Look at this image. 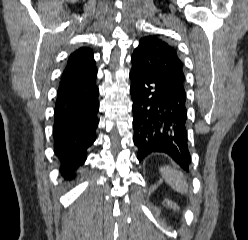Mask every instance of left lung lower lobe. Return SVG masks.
<instances>
[{
  "instance_id": "1",
  "label": "left lung lower lobe",
  "mask_w": 248,
  "mask_h": 240,
  "mask_svg": "<svg viewBox=\"0 0 248 240\" xmlns=\"http://www.w3.org/2000/svg\"><path fill=\"white\" fill-rule=\"evenodd\" d=\"M131 63L133 140L138 147V160L151 153H165L187 170L191 156L187 145L186 94L140 61L131 58Z\"/></svg>"
}]
</instances>
